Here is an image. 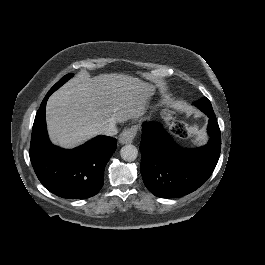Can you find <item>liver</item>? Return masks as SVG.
<instances>
[{
	"instance_id": "6515ba94",
	"label": "liver",
	"mask_w": 265,
	"mask_h": 265,
	"mask_svg": "<svg viewBox=\"0 0 265 265\" xmlns=\"http://www.w3.org/2000/svg\"><path fill=\"white\" fill-rule=\"evenodd\" d=\"M155 89L153 84L124 74L78 75L48 99L49 136L65 148L79 145L102 134L110 122L142 116Z\"/></svg>"
}]
</instances>
